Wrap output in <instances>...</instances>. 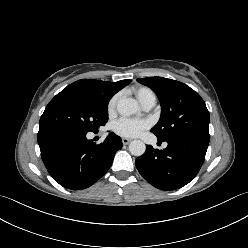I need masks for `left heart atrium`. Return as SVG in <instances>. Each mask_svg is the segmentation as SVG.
Instances as JSON below:
<instances>
[{"instance_id":"1","label":"left heart atrium","mask_w":248,"mask_h":248,"mask_svg":"<svg viewBox=\"0 0 248 248\" xmlns=\"http://www.w3.org/2000/svg\"><path fill=\"white\" fill-rule=\"evenodd\" d=\"M149 124L144 119L121 118L114 123V131L121 136L137 137L148 128Z\"/></svg>"}]
</instances>
